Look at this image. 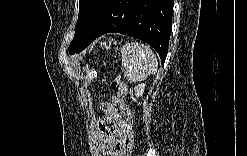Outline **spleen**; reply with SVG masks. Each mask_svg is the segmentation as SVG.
<instances>
[{
  "label": "spleen",
  "mask_w": 247,
  "mask_h": 156,
  "mask_svg": "<svg viewBox=\"0 0 247 156\" xmlns=\"http://www.w3.org/2000/svg\"><path fill=\"white\" fill-rule=\"evenodd\" d=\"M124 78L130 83L146 80L155 74L158 67L157 58L152 49L141 42H127L121 48Z\"/></svg>",
  "instance_id": "1"
}]
</instances>
